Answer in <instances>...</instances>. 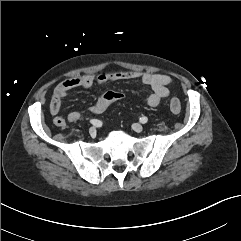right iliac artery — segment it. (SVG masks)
<instances>
[{
	"label": "right iliac artery",
	"mask_w": 241,
	"mask_h": 241,
	"mask_svg": "<svg viewBox=\"0 0 241 241\" xmlns=\"http://www.w3.org/2000/svg\"><path fill=\"white\" fill-rule=\"evenodd\" d=\"M90 122L96 127H100L102 125V122L100 120L93 119Z\"/></svg>",
	"instance_id": "82829eb1"
}]
</instances>
